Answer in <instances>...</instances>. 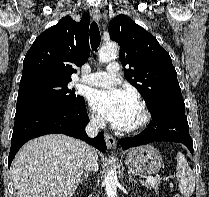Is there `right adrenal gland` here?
Returning a JSON list of instances; mask_svg holds the SVG:
<instances>
[{
  "label": "right adrenal gland",
  "mask_w": 209,
  "mask_h": 197,
  "mask_svg": "<svg viewBox=\"0 0 209 197\" xmlns=\"http://www.w3.org/2000/svg\"><path fill=\"white\" fill-rule=\"evenodd\" d=\"M83 180H86V181L89 180V179H88V173H84L83 178L80 180V183H81V184H82Z\"/></svg>",
  "instance_id": "right-adrenal-gland-1"
}]
</instances>
